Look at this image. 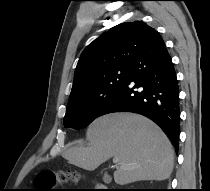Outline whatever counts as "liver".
<instances>
[{"mask_svg":"<svg viewBox=\"0 0 210 191\" xmlns=\"http://www.w3.org/2000/svg\"><path fill=\"white\" fill-rule=\"evenodd\" d=\"M88 146L63 153L70 164L94 170L118 157L114 180L125 185L143 180H165L173 170L174 149L163 131L148 118L133 113H112L94 120L87 129Z\"/></svg>","mask_w":210,"mask_h":191,"instance_id":"6515ba94","label":"liver"}]
</instances>
